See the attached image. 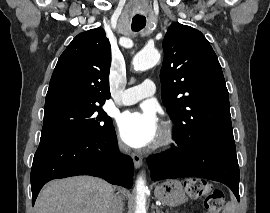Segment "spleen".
<instances>
[{
	"label": "spleen",
	"mask_w": 270,
	"mask_h": 213,
	"mask_svg": "<svg viewBox=\"0 0 270 213\" xmlns=\"http://www.w3.org/2000/svg\"><path fill=\"white\" fill-rule=\"evenodd\" d=\"M223 213H235V205L232 202L227 203Z\"/></svg>",
	"instance_id": "spleen-1"
}]
</instances>
